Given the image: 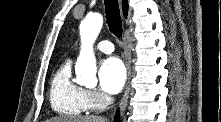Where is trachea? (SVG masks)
I'll use <instances>...</instances> for the list:
<instances>
[{
	"instance_id": "1",
	"label": "trachea",
	"mask_w": 221,
	"mask_h": 122,
	"mask_svg": "<svg viewBox=\"0 0 221 122\" xmlns=\"http://www.w3.org/2000/svg\"><path fill=\"white\" fill-rule=\"evenodd\" d=\"M107 24L116 37L122 36V21L117 0H104Z\"/></svg>"
}]
</instances>
